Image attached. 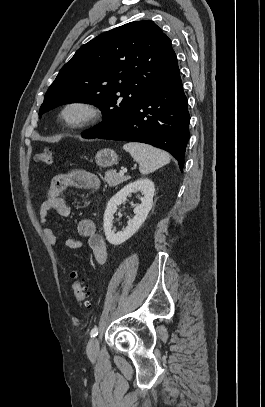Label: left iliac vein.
<instances>
[{"mask_svg": "<svg viewBox=\"0 0 265 407\" xmlns=\"http://www.w3.org/2000/svg\"><path fill=\"white\" fill-rule=\"evenodd\" d=\"M99 351V340L97 337L91 338L87 346V354L89 357H94Z\"/></svg>", "mask_w": 265, "mask_h": 407, "instance_id": "obj_1", "label": "left iliac vein"}]
</instances>
